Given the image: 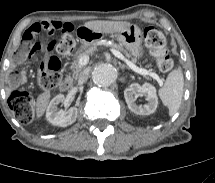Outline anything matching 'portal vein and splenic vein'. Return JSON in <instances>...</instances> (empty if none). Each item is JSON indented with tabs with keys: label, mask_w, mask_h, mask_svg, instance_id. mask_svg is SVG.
Returning a JSON list of instances; mask_svg holds the SVG:
<instances>
[{
	"label": "portal vein and splenic vein",
	"mask_w": 215,
	"mask_h": 183,
	"mask_svg": "<svg viewBox=\"0 0 215 183\" xmlns=\"http://www.w3.org/2000/svg\"><path fill=\"white\" fill-rule=\"evenodd\" d=\"M111 51L117 58H119L120 60L124 61L129 66V68L132 69L133 71H135V72H137V73H139L141 75H144V76H150L153 79H155L159 83L160 86L163 85L162 79L156 73L150 72V71H148L146 69H143V68H139L133 62H131L130 60L125 58V56L122 53H120L119 51H117L115 49H111ZM88 62H89V56H83L79 60V63L82 66L87 65Z\"/></svg>",
	"instance_id": "portal-vein-and-splenic-vein-1"
}]
</instances>
